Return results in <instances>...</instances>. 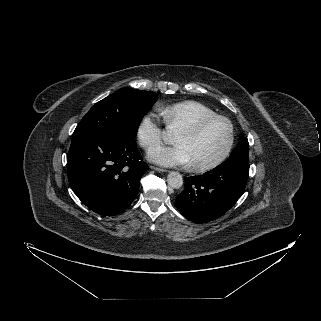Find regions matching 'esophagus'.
I'll use <instances>...</instances> for the list:
<instances>
[{
    "label": "esophagus",
    "mask_w": 321,
    "mask_h": 321,
    "mask_svg": "<svg viewBox=\"0 0 321 321\" xmlns=\"http://www.w3.org/2000/svg\"><path fill=\"white\" fill-rule=\"evenodd\" d=\"M151 169L155 170V171H159V172H167L166 169L163 168H159V167H155V166H150Z\"/></svg>",
    "instance_id": "obj_1"
}]
</instances>
